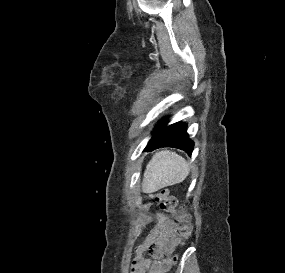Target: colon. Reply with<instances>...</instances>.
<instances>
[{
  "mask_svg": "<svg viewBox=\"0 0 285 273\" xmlns=\"http://www.w3.org/2000/svg\"><path fill=\"white\" fill-rule=\"evenodd\" d=\"M154 201L165 211L175 215L178 225V233L184 242L189 239L192 233V225L189 216L177 208L176 199L169 194L167 189H161L151 195ZM177 260V256L173 257V261Z\"/></svg>",
  "mask_w": 285,
  "mask_h": 273,
  "instance_id": "5ec220e1",
  "label": "colon"
}]
</instances>
